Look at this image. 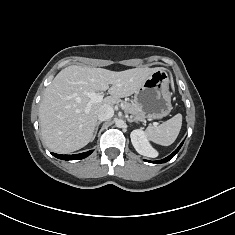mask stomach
Instances as JSON below:
<instances>
[{
	"instance_id": "obj_1",
	"label": "stomach",
	"mask_w": 235,
	"mask_h": 235,
	"mask_svg": "<svg viewBox=\"0 0 235 235\" xmlns=\"http://www.w3.org/2000/svg\"><path fill=\"white\" fill-rule=\"evenodd\" d=\"M134 105L149 119H161L172 110L166 71L151 74L135 92Z\"/></svg>"
}]
</instances>
